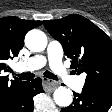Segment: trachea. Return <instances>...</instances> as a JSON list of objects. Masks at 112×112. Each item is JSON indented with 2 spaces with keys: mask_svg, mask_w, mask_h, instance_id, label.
I'll list each match as a JSON object with an SVG mask.
<instances>
[{
  "mask_svg": "<svg viewBox=\"0 0 112 112\" xmlns=\"http://www.w3.org/2000/svg\"><path fill=\"white\" fill-rule=\"evenodd\" d=\"M15 76H18L21 80H30L33 79L35 77L34 73H30V72H26V73H21V74H15L13 73ZM44 76L53 80H58V77L56 75H54L53 73L49 72V71H45L44 72Z\"/></svg>",
  "mask_w": 112,
  "mask_h": 112,
  "instance_id": "trachea-1",
  "label": "trachea"
}]
</instances>
